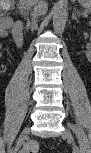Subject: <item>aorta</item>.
I'll use <instances>...</instances> for the list:
<instances>
[{"mask_svg": "<svg viewBox=\"0 0 91 153\" xmlns=\"http://www.w3.org/2000/svg\"><path fill=\"white\" fill-rule=\"evenodd\" d=\"M67 10L64 0H59L53 10V29L55 33H61L66 25Z\"/></svg>", "mask_w": 91, "mask_h": 153, "instance_id": "obj_1", "label": "aorta"}]
</instances>
